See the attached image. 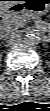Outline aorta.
<instances>
[{
	"mask_svg": "<svg viewBox=\"0 0 50 111\" xmlns=\"http://www.w3.org/2000/svg\"><path fill=\"white\" fill-rule=\"evenodd\" d=\"M38 40H39L38 36L33 33L25 35L24 38V42L29 45L37 44Z\"/></svg>",
	"mask_w": 50,
	"mask_h": 111,
	"instance_id": "aorta-1",
	"label": "aorta"
}]
</instances>
